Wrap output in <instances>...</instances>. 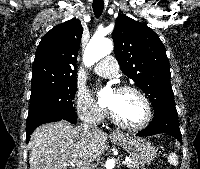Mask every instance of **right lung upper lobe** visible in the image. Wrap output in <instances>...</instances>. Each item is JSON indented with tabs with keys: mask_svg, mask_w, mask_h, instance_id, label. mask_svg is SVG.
<instances>
[{
	"mask_svg": "<svg viewBox=\"0 0 200 169\" xmlns=\"http://www.w3.org/2000/svg\"><path fill=\"white\" fill-rule=\"evenodd\" d=\"M83 28L73 18L59 24L41 39L32 67V88L76 80L75 67Z\"/></svg>",
	"mask_w": 200,
	"mask_h": 169,
	"instance_id": "obj_1",
	"label": "right lung upper lobe"
}]
</instances>
